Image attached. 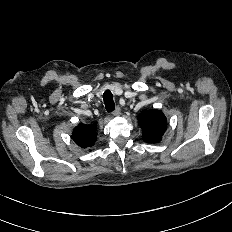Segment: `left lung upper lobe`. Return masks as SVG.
Wrapping results in <instances>:
<instances>
[{
	"label": "left lung upper lobe",
	"instance_id": "left-lung-upper-lobe-1",
	"mask_svg": "<svg viewBox=\"0 0 232 232\" xmlns=\"http://www.w3.org/2000/svg\"><path fill=\"white\" fill-rule=\"evenodd\" d=\"M139 126L142 128V138L147 143L161 141L167 128V119L159 110H144L138 117Z\"/></svg>",
	"mask_w": 232,
	"mask_h": 232
}]
</instances>
